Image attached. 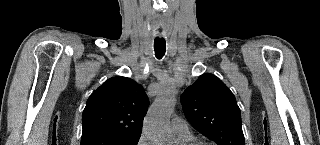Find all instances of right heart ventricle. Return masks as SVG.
<instances>
[{
    "label": "right heart ventricle",
    "instance_id": "1",
    "mask_svg": "<svg viewBox=\"0 0 320 145\" xmlns=\"http://www.w3.org/2000/svg\"><path fill=\"white\" fill-rule=\"evenodd\" d=\"M176 137V136H175ZM177 141L181 143V145H184L186 143H189L191 141H193L192 139V136L189 135L187 137H176Z\"/></svg>",
    "mask_w": 320,
    "mask_h": 145
}]
</instances>
